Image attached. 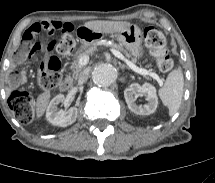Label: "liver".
<instances>
[{
	"instance_id": "1",
	"label": "liver",
	"mask_w": 215,
	"mask_h": 183,
	"mask_svg": "<svg viewBox=\"0 0 215 183\" xmlns=\"http://www.w3.org/2000/svg\"><path fill=\"white\" fill-rule=\"evenodd\" d=\"M131 25L130 22L125 21H104V20H95L84 23L83 26L89 30L101 34H114L123 30H126ZM50 100V92L46 91L41 93L36 101V116L41 117Z\"/></svg>"
}]
</instances>
